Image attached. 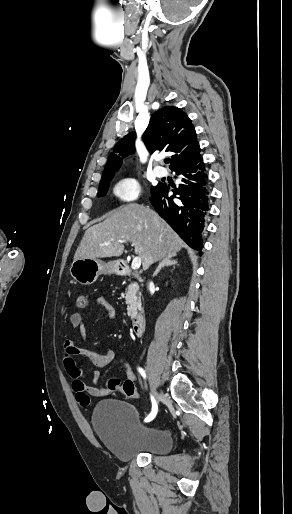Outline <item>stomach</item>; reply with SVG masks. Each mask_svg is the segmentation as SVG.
Listing matches in <instances>:
<instances>
[{
	"mask_svg": "<svg viewBox=\"0 0 292 514\" xmlns=\"http://www.w3.org/2000/svg\"><path fill=\"white\" fill-rule=\"evenodd\" d=\"M70 274L82 286L94 284L100 274H118L117 262H102L98 258H78L71 264Z\"/></svg>",
	"mask_w": 292,
	"mask_h": 514,
	"instance_id": "obj_1",
	"label": "stomach"
}]
</instances>
